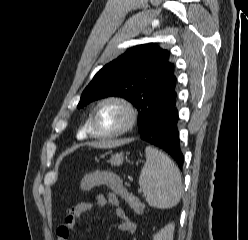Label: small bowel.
<instances>
[{
	"mask_svg": "<svg viewBox=\"0 0 248 240\" xmlns=\"http://www.w3.org/2000/svg\"><path fill=\"white\" fill-rule=\"evenodd\" d=\"M94 206L105 207L112 206L115 208V213L120 219L118 225V230L129 235H134L136 232V224L130 220L127 216L125 210L120 206L119 199L113 194L109 193L107 195L99 194L95 198L94 204L88 202H81L74 206L72 209L68 210L65 216L64 223L57 229V239L58 240H69L72 230L76 225V220L89 213Z\"/></svg>",
	"mask_w": 248,
	"mask_h": 240,
	"instance_id": "obj_1",
	"label": "small bowel"
}]
</instances>
